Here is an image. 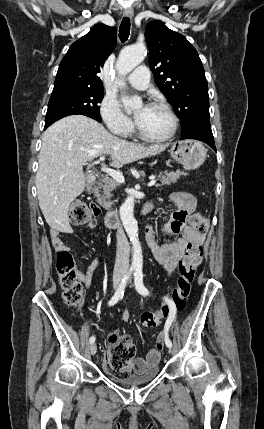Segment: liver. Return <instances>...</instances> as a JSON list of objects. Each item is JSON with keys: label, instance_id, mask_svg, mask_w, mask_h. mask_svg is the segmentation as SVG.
Listing matches in <instances>:
<instances>
[{"label": "liver", "instance_id": "1", "mask_svg": "<svg viewBox=\"0 0 264 429\" xmlns=\"http://www.w3.org/2000/svg\"><path fill=\"white\" fill-rule=\"evenodd\" d=\"M169 145L141 146L110 134L96 120L71 115L52 124L42 136L37 197L48 225L71 233L68 211L71 202L85 189L83 165L98 156L111 155V165L120 168L142 158L155 156Z\"/></svg>", "mask_w": 264, "mask_h": 429}]
</instances>
